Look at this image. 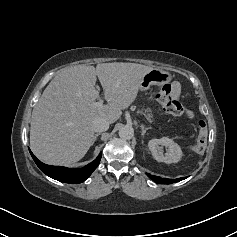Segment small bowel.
I'll return each mask as SVG.
<instances>
[{
    "label": "small bowel",
    "instance_id": "obj_1",
    "mask_svg": "<svg viewBox=\"0 0 237 237\" xmlns=\"http://www.w3.org/2000/svg\"><path fill=\"white\" fill-rule=\"evenodd\" d=\"M178 88H177V86L176 85H172L171 86V94L174 96V97H177L178 96ZM187 115H188V117H192L193 116V114H192V112H188L187 113Z\"/></svg>",
    "mask_w": 237,
    "mask_h": 237
}]
</instances>
